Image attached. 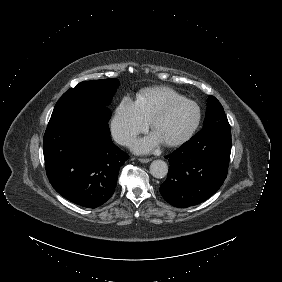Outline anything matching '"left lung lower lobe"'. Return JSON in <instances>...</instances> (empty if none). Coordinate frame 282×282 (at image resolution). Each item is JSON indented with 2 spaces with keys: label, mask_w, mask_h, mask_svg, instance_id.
I'll return each mask as SVG.
<instances>
[{
  "label": "left lung lower lobe",
  "mask_w": 282,
  "mask_h": 282,
  "mask_svg": "<svg viewBox=\"0 0 282 282\" xmlns=\"http://www.w3.org/2000/svg\"><path fill=\"white\" fill-rule=\"evenodd\" d=\"M231 153L228 121L205 125L169 159L170 169L160 193L171 205L186 208L208 199L223 184Z\"/></svg>",
  "instance_id": "0a47b994"
}]
</instances>
